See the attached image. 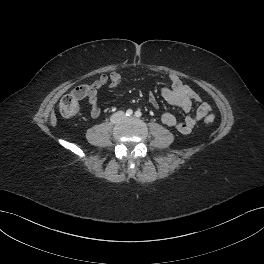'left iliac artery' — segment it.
<instances>
[{"label": "left iliac artery", "instance_id": "obj_1", "mask_svg": "<svg viewBox=\"0 0 264 264\" xmlns=\"http://www.w3.org/2000/svg\"><path fill=\"white\" fill-rule=\"evenodd\" d=\"M141 115H142V114H141L140 111H136V112H135V116H136V117H141Z\"/></svg>", "mask_w": 264, "mask_h": 264}]
</instances>
